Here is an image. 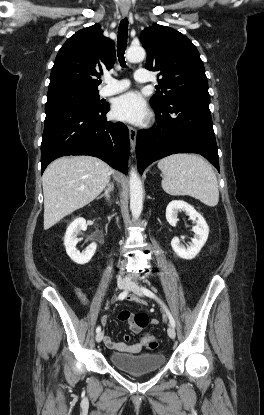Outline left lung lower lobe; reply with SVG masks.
I'll list each match as a JSON object with an SVG mask.
<instances>
[{
	"mask_svg": "<svg viewBox=\"0 0 264 415\" xmlns=\"http://www.w3.org/2000/svg\"><path fill=\"white\" fill-rule=\"evenodd\" d=\"M209 103V97L183 96L163 106H152L157 125L137 133L139 172L152 162L175 153L201 154L219 171Z\"/></svg>",
	"mask_w": 264,
	"mask_h": 415,
	"instance_id": "1",
	"label": "left lung lower lobe"
}]
</instances>
